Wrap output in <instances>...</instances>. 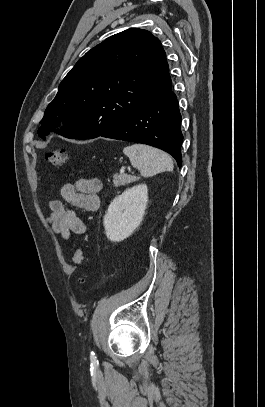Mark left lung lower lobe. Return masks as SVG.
<instances>
[{
	"label": "left lung lower lobe",
	"instance_id": "0a47b994",
	"mask_svg": "<svg viewBox=\"0 0 265 407\" xmlns=\"http://www.w3.org/2000/svg\"><path fill=\"white\" fill-rule=\"evenodd\" d=\"M102 137L148 144L170 153L182 164L181 115L171 83Z\"/></svg>",
	"mask_w": 265,
	"mask_h": 407
}]
</instances>
